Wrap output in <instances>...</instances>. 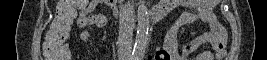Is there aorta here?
I'll return each mask as SVG.
<instances>
[{
  "label": "aorta",
  "mask_w": 267,
  "mask_h": 60,
  "mask_svg": "<svg viewBox=\"0 0 267 60\" xmlns=\"http://www.w3.org/2000/svg\"><path fill=\"white\" fill-rule=\"evenodd\" d=\"M137 34L134 47L135 54H141L146 47L149 29V14L144 0H140L137 8Z\"/></svg>",
  "instance_id": "1"
}]
</instances>
